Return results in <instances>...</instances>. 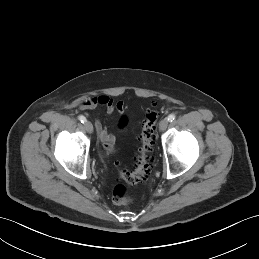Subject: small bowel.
<instances>
[{
    "mask_svg": "<svg viewBox=\"0 0 259 259\" xmlns=\"http://www.w3.org/2000/svg\"><path fill=\"white\" fill-rule=\"evenodd\" d=\"M97 106H102L105 108L107 115H111L116 112L118 115H122L124 112V102L114 101L111 97L106 95H101L93 97L83 102V107L86 109H94ZM95 128L100 141L103 142L104 151L103 153H109L115 143V136L111 133L108 128L103 124V122L97 118L95 120Z\"/></svg>",
    "mask_w": 259,
    "mask_h": 259,
    "instance_id": "1",
    "label": "small bowel"
}]
</instances>
